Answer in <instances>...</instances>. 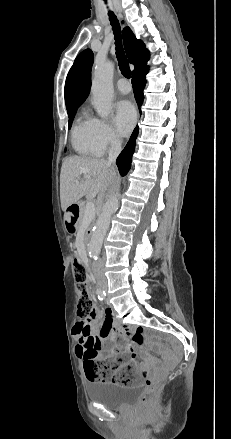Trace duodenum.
Wrapping results in <instances>:
<instances>
[{"instance_id": "duodenum-1", "label": "duodenum", "mask_w": 231, "mask_h": 439, "mask_svg": "<svg viewBox=\"0 0 231 439\" xmlns=\"http://www.w3.org/2000/svg\"><path fill=\"white\" fill-rule=\"evenodd\" d=\"M91 236V231H88L87 232V237H90Z\"/></svg>"}]
</instances>
